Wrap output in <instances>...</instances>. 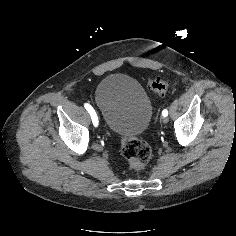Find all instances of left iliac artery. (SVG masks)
<instances>
[{"label": "left iliac artery", "instance_id": "1", "mask_svg": "<svg viewBox=\"0 0 236 236\" xmlns=\"http://www.w3.org/2000/svg\"><path fill=\"white\" fill-rule=\"evenodd\" d=\"M162 115H163V116H168V111H167V109H164V110L162 111Z\"/></svg>", "mask_w": 236, "mask_h": 236}]
</instances>
